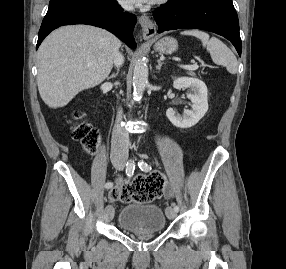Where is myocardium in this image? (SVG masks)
I'll return each mask as SVG.
<instances>
[{
    "instance_id": "1",
    "label": "myocardium",
    "mask_w": 286,
    "mask_h": 269,
    "mask_svg": "<svg viewBox=\"0 0 286 269\" xmlns=\"http://www.w3.org/2000/svg\"><path fill=\"white\" fill-rule=\"evenodd\" d=\"M167 0H157V3H165Z\"/></svg>"
}]
</instances>
